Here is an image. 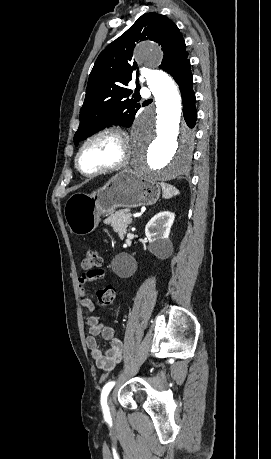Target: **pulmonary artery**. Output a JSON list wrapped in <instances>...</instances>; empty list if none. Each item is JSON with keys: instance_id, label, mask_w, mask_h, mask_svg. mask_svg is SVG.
<instances>
[{"instance_id": "obj_1", "label": "pulmonary artery", "mask_w": 271, "mask_h": 459, "mask_svg": "<svg viewBox=\"0 0 271 459\" xmlns=\"http://www.w3.org/2000/svg\"><path fill=\"white\" fill-rule=\"evenodd\" d=\"M140 95H141L143 98H148V97L151 95V92H150L148 89H143V90L140 92Z\"/></svg>"}]
</instances>
